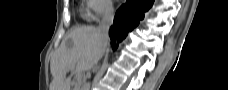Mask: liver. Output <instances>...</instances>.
Here are the masks:
<instances>
[{"mask_svg":"<svg viewBox=\"0 0 228 90\" xmlns=\"http://www.w3.org/2000/svg\"><path fill=\"white\" fill-rule=\"evenodd\" d=\"M68 38L72 46L69 48L64 42L51 58L53 80L49 90H70L71 76L66 78V72L75 66L83 71L90 70L103 56L108 44L102 42L98 28L94 26L76 28Z\"/></svg>","mask_w":228,"mask_h":90,"instance_id":"obj_1","label":"liver"}]
</instances>
